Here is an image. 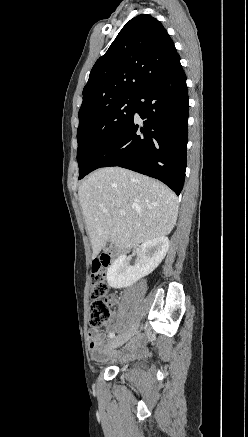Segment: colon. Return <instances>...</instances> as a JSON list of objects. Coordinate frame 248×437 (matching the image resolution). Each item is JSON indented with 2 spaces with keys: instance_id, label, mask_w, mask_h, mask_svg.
Wrapping results in <instances>:
<instances>
[{
  "instance_id": "1",
  "label": "colon",
  "mask_w": 248,
  "mask_h": 437,
  "mask_svg": "<svg viewBox=\"0 0 248 437\" xmlns=\"http://www.w3.org/2000/svg\"><path fill=\"white\" fill-rule=\"evenodd\" d=\"M108 264L109 262L106 259V255L92 261L89 320L93 327H100L107 324L111 317L110 303L108 300L109 288L105 274V269Z\"/></svg>"
}]
</instances>
